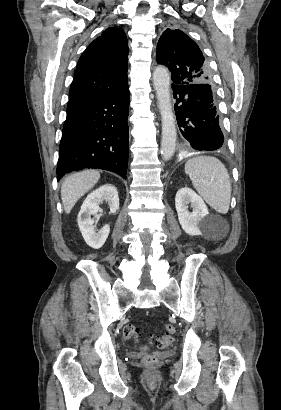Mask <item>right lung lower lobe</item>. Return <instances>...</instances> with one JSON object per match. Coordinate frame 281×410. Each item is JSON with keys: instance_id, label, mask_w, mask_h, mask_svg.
Instances as JSON below:
<instances>
[{"instance_id": "right-lung-lower-lobe-1", "label": "right lung lower lobe", "mask_w": 281, "mask_h": 410, "mask_svg": "<svg viewBox=\"0 0 281 410\" xmlns=\"http://www.w3.org/2000/svg\"><path fill=\"white\" fill-rule=\"evenodd\" d=\"M129 87L67 110L59 146L57 181L66 173L100 168L126 178Z\"/></svg>"}]
</instances>
